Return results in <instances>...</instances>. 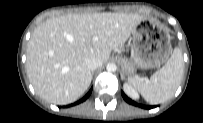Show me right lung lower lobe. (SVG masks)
Segmentation results:
<instances>
[{"label":"right lung lower lobe","mask_w":203,"mask_h":123,"mask_svg":"<svg viewBox=\"0 0 203 123\" xmlns=\"http://www.w3.org/2000/svg\"><path fill=\"white\" fill-rule=\"evenodd\" d=\"M91 91H92V89L81 100H79L78 102L74 103V105L85 101L90 96Z\"/></svg>","instance_id":"obj_1"}]
</instances>
